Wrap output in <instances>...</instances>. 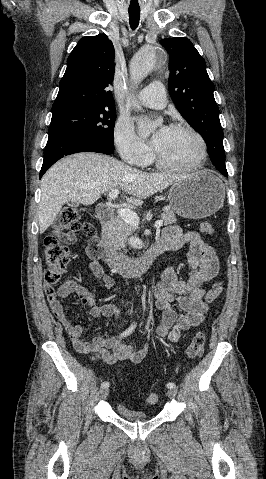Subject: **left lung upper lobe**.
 <instances>
[{"instance_id": "obj_1", "label": "left lung upper lobe", "mask_w": 266, "mask_h": 479, "mask_svg": "<svg viewBox=\"0 0 266 479\" xmlns=\"http://www.w3.org/2000/svg\"><path fill=\"white\" fill-rule=\"evenodd\" d=\"M161 44L169 53L168 90L172 100L180 114L205 140L214 166L219 171H227L219 108L204 58L185 37L161 39Z\"/></svg>"}]
</instances>
